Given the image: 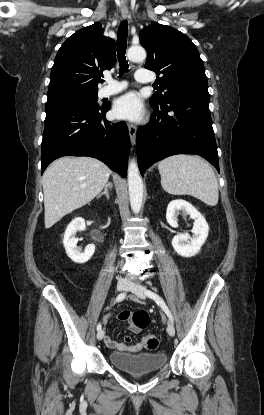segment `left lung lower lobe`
Instances as JSON below:
<instances>
[{
    "label": "left lung lower lobe",
    "mask_w": 264,
    "mask_h": 415,
    "mask_svg": "<svg viewBox=\"0 0 264 415\" xmlns=\"http://www.w3.org/2000/svg\"><path fill=\"white\" fill-rule=\"evenodd\" d=\"M209 96L182 95L163 105L151 104L152 120L137 130L138 166L143 175L153 163L175 154H196L219 172Z\"/></svg>",
    "instance_id": "obj_1"
}]
</instances>
